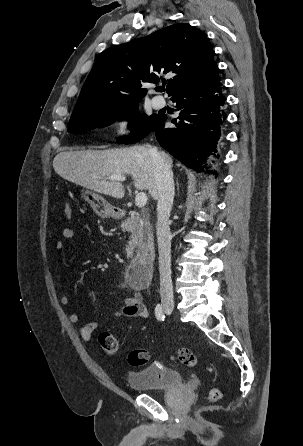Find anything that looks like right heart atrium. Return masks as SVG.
Segmentation results:
<instances>
[{
    "label": "right heart atrium",
    "instance_id": "d8ad5b80",
    "mask_svg": "<svg viewBox=\"0 0 303 446\" xmlns=\"http://www.w3.org/2000/svg\"><path fill=\"white\" fill-rule=\"evenodd\" d=\"M137 117L131 112H122L116 115L112 123V132L115 137L126 138L131 136L136 129Z\"/></svg>",
    "mask_w": 303,
    "mask_h": 446
}]
</instances>
